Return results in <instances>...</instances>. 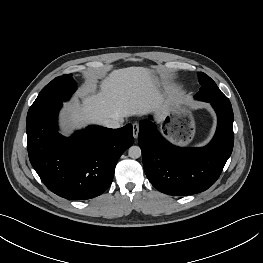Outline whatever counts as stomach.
<instances>
[{"instance_id": "1", "label": "stomach", "mask_w": 263, "mask_h": 263, "mask_svg": "<svg viewBox=\"0 0 263 263\" xmlns=\"http://www.w3.org/2000/svg\"><path fill=\"white\" fill-rule=\"evenodd\" d=\"M171 113L170 136L180 143L190 142L194 134V120L188 106L176 101L171 106ZM180 120H188L187 129H181Z\"/></svg>"}]
</instances>
